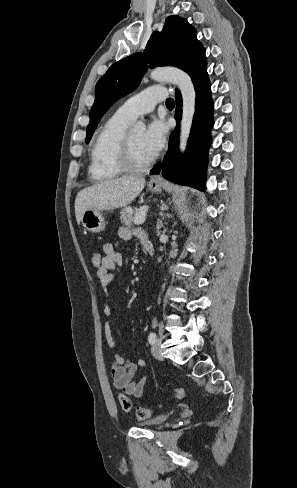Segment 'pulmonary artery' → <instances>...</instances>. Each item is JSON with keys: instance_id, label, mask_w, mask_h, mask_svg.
I'll return each mask as SVG.
<instances>
[{"instance_id": "1", "label": "pulmonary artery", "mask_w": 297, "mask_h": 488, "mask_svg": "<svg viewBox=\"0 0 297 488\" xmlns=\"http://www.w3.org/2000/svg\"><path fill=\"white\" fill-rule=\"evenodd\" d=\"M166 97L167 90L164 87L152 86L127 99L115 114L132 122L138 116L151 112Z\"/></svg>"}]
</instances>
